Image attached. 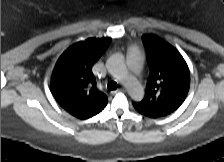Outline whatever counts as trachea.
Returning a JSON list of instances; mask_svg holds the SVG:
<instances>
[{
    "mask_svg": "<svg viewBox=\"0 0 224 162\" xmlns=\"http://www.w3.org/2000/svg\"><path fill=\"white\" fill-rule=\"evenodd\" d=\"M118 87L117 83L114 81H110L107 85L109 91L116 90Z\"/></svg>",
    "mask_w": 224,
    "mask_h": 162,
    "instance_id": "obj_1",
    "label": "trachea"
}]
</instances>
